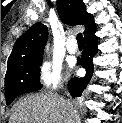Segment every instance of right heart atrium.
<instances>
[{
    "instance_id": "1",
    "label": "right heart atrium",
    "mask_w": 122,
    "mask_h": 123,
    "mask_svg": "<svg viewBox=\"0 0 122 123\" xmlns=\"http://www.w3.org/2000/svg\"><path fill=\"white\" fill-rule=\"evenodd\" d=\"M38 78L48 88L60 87L63 82L61 65L50 59L43 60L38 69Z\"/></svg>"
}]
</instances>
